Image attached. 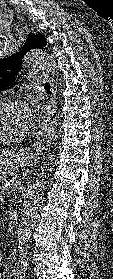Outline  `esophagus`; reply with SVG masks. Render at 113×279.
<instances>
[{
	"label": "esophagus",
	"mask_w": 113,
	"mask_h": 279,
	"mask_svg": "<svg viewBox=\"0 0 113 279\" xmlns=\"http://www.w3.org/2000/svg\"><path fill=\"white\" fill-rule=\"evenodd\" d=\"M49 84H50V90H51V97H50V108L49 111L47 113V115L45 116L43 122H42V127L48 122L50 121V119L53 117V115L56 112V104H57V97H56V92H57V88L55 85V81L53 78L49 77ZM42 139L40 136V133L37 134L36 139L32 145V149L31 151L33 152H38L41 150L42 148Z\"/></svg>",
	"instance_id": "1"
}]
</instances>
